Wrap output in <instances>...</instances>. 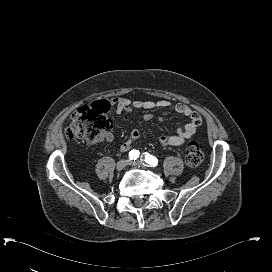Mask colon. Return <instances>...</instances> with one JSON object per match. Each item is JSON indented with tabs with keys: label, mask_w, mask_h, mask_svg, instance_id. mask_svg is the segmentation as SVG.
<instances>
[{
	"label": "colon",
	"mask_w": 272,
	"mask_h": 272,
	"mask_svg": "<svg viewBox=\"0 0 272 272\" xmlns=\"http://www.w3.org/2000/svg\"><path fill=\"white\" fill-rule=\"evenodd\" d=\"M110 103L99 100L76 109L68 120L65 137L69 140L84 139L90 144L98 143L111 125ZM190 167H197L203 160V153L196 142L188 144L185 155Z\"/></svg>",
	"instance_id": "colon-1"
}]
</instances>
